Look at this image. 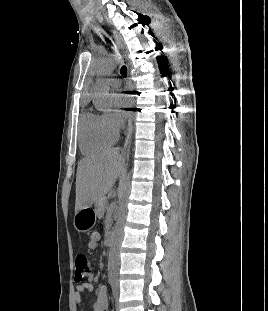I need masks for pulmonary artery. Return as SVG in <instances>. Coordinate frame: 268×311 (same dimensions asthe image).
<instances>
[{
    "mask_svg": "<svg viewBox=\"0 0 268 311\" xmlns=\"http://www.w3.org/2000/svg\"><path fill=\"white\" fill-rule=\"evenodd\" d=\"M106 82L112 88H118L121 85V81L117 78H109Z\"/></svg>",
    "mask_w": 268,
    "mask_h": 311,
    "instance_id": "pulmonary-artery-1",
    "label": "pulmonary artery"
}]
</instances>
